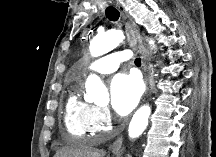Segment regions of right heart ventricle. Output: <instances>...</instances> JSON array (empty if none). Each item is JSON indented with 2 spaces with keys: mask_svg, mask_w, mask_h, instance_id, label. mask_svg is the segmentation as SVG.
Returning <instances> with one entry per match:
<instances>
[{
  "mask_svg": "<svg viewBox=\"0 0 216 157\" xmlns=\"http://www.w3.org/2000/svg\"><path fill=\"white\" fill-rule=\"evenodd\" d=\"M93 105L82 100L79 92L74 90L67 99L64 123L67 131L76 137L86 136L90 130L89 117Z\"/></svg>",
  "mask_w": 216,
  "mask_h": 157,
  "instance_id": "1",
  "label": "right heart ventricle"
}]
</instances>
